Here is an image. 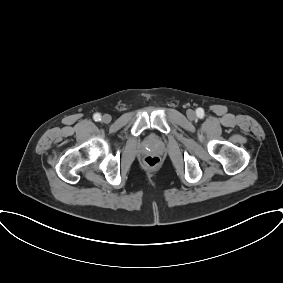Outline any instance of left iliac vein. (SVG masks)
<instances>
[{
  "mask_svg": "<svg viewBox=\"0 0 283 283\" xmlns=\"http://www.w3.org/2000/svg\"><path fill=\"white\" fill-rule=\"evenodd\" d=\"M187 116H188L189 119L193 120V119L196 118V113L193 110H188L187 111Z\"/></svg>",
  "mask_w": 283,
  "mask_h": 283,
  "instance_id": "left-iliac-vein-1",
  "label": "left iliac vein"
}]
</instances>
